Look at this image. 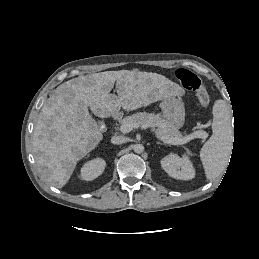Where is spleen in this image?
<instances>
[{
	"instance_id": "spleen-1",
	"label": "spleen",
	"mask_w": 259,
	"mask_h": 259,
	"mask_svg": "<svg viewBox=\"0 0 259 259\" xmlns=\"http://www.w3.org/2000/svg\"><path fill=\"white\" fill-rule=\"evenodd\" d=\"M213 134L200 151L207 180H214L227 166L232 150L233 128L231 113L224 100H217L213 106Z\"/></svg>"
}]
</instances>
